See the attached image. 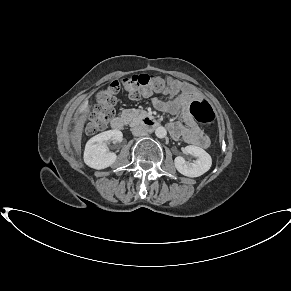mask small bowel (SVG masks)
Here are the masks:
<instances>
[{
	"label": "small bowel",
	"mask_w": 291,
	"mask_h": 291,
	"mask_svg": "<svg viewBox=\"0 0 291 291\" xmlns=\"http://www.w3.org/2000/svg\"><path fill=\"white\" fill-rule=\"evenodd\" d=\"M163 94L167 95L166 100L161 98L153 100L156 109L173 114L181 111V122H173L167 125L172 137L176 140L182 139L186 143L199 148H207L210 141L196 125L188 110L190 103L199 98L191 85L183 81L173 80Z\"/></svg>",
	"instance_id": "c3829d8e"
}]
</instances>
